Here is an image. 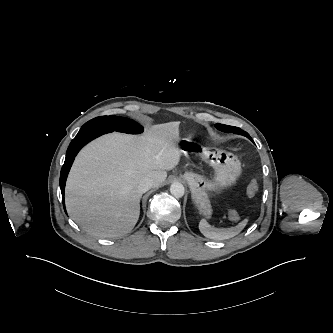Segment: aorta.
<instances>
[{"mask_svg": "<svg viewBox=\"0 0 333 333\" xmlns=\"http://www.w3.org/2000/svg\"><path fill=\"white\" fill-rule=\"evenodd\" d=\"M170 192L174 197L181 198L185 193V189L181 183L174 182L170 186Z\"/></svg>", "mask_w": 333, "mask_h": 333, "instance_id": "obj_1", "label": "aorta"}]
</instances>
